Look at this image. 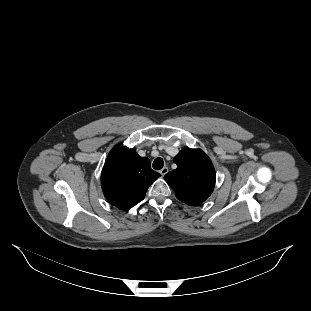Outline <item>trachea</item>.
<instances>
[{
	"label": "trachea",
	"mask_w": 311,
	"mask_h": 311,
	"mask_svg": "<svg viewBox=\"0 0 311 311\" xmlns=\"http://www.w3.org/2000/svg\"><path fill=\"white\" fill-rule=\"evenodd\" d=\"M163 165H164V161H163V159H162L161 157L156 158V159L154 160V162H153V168H154L155 170H160V169H162V168H163Z\"/></svg>",
	"instance_id": "1"
}]
</instances>
